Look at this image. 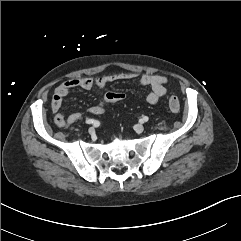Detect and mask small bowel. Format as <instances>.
Here are the masks:
<instances>
[{
    "mask_svg": "<svg viewBox=\"0 0 241 241\" xmlns=\"http://www.w3.org/2000/svg\"><path fill=\"white\" fill-rule=\"evenodd\" d=\"M139 78V83L142 86L150 88V92L146 97V101L155 105L158 103L160 98L166 95L167 88L166 84L168 79L165 76L156 74H138L135 72H119L112 74H104L96 78L91 76H82L69 79L62 84H60L54 92L51 101V110L54 113V122L59 127H64L69 124H73L81 119V114L79 112H72L67 116L60 112L64 98L75 88H81L87 91H98L101 92L106 87L107 84L115 81L131 80ZM114 102V101H112ZM111 103L101 99L97 104L90 107L89 111L93 115H101L105 107Z\"/></svg>",
    "mask_w": 241,
    "mask_h": 241,
    "instance_id": "1",
    "label": "small bowel"
}]
</instances>
